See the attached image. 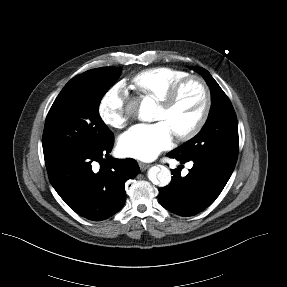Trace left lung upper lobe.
Returning a JSON list of instances; mask_svg holds the SVG:
<instances>
[{
	"instance_id": "obj_1",
	"label": "left lung upper lobe",
	"mask_w": 287,
	"mask_h": 287,
	"mask_svg": "<svg viewBox=\"0 0 287 287\" xmlns=\"http://www.w3.org/2000/svg\"><path fill=\"white\" fill-rule=\"evenodd\" d=\"M192 69L200 73L209 85L212 105L201 131L173 151L182 156L207 154L235 165L239 140L237 118L232 104L207 70L196 66Z\"/></svg>"
}]
</instances>
